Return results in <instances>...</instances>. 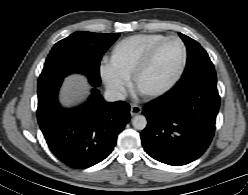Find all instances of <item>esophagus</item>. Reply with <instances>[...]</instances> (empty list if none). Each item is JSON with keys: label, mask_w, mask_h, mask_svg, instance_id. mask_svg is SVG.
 <instances>
[{"label": "esophagus", "mask_w": 248, "mask_h": 195, "mask_svg": "<svg viewBox=\"0 0 248 195\" xmlns=\"http://www.w3.org/2000/svg\"><path fill=\"white\" fill-rule=\"evenodd\" d=\"M141 111H142V107L137 105V104H132L131 107H130V114L132 116L140 114Z\"/></svg>", "instance_id": "1"}]
</instances>
